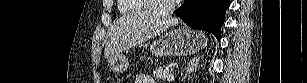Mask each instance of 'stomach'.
Wrapping results in <instances>:
<instances>
[{
  "label": "stomach",
  "instance_id": "1",
  "mask_svg": "<svg viewBox=\"0 0 307 83\" xmlns=\"http://www.w3.org/2000/svg\"><path fill=\"white\" fill-rule=\"evenodd\" d=\"M207 44V38L201 33L195 34L188 29L171 30L153 42L152 53L155 56H186L201 50ZM110 69L121 73L129 68V62L123 54L108 59Z\"/></svg>",
  "mask_w": 307,
  "mask_h": 83
}]
</instances>
